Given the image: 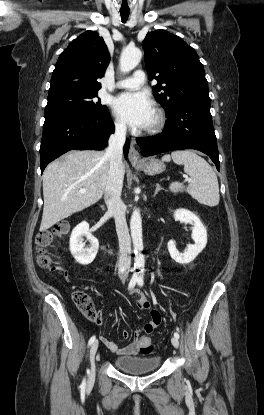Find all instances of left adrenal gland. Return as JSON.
I'll return each mask as SVG.
<instances>
[{"mask_svg": "<svg viewBox=\"0 0 264 415\" xmlns=\"http://www.w3.org/2000/svg\"><path fill=\"white\" fill-rule=\"evenodd\" d=\"M160 190H162V188H161V186H160V184H156V189H155V192H154V196L160 191Z\"/></svg>", "mask_w": 264, "mask_h": 415, "instance_id": "a2214340", "label": "left adrenal gland"}]
</instances>
